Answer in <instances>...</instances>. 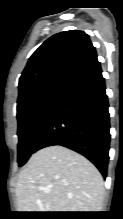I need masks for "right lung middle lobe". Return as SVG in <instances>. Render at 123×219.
I'll use <instances>...</instances> for the list:
<instances>
[{"instance_id":"dd1d6c3e","label":"right lung middle lobe","mask_w":123,"mask_h":219,"mask_svg":"<svg viewBox=\"0 0 123 219\" xmlns=\"http://www.w3.org/2000/svg\"><path fill=\"white\" fill-rule=\"evenodd\" d=\"M68 81H53L27 91L17 101L18 164L24 165L35 152L41 130Z\"/></svg>"}]
</instances>
